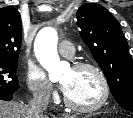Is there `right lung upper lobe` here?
Returning a JSON list of instances; mask_svg holds the SVG:
<instances>
[{
  "label": "right lung upper lobe",
  "instance_id": "right-lung-upper-lobe-1",
  "mask_svg": "<svg viewBox=\"0 0 133 118\" xmlns=\"http://www.w3.org/2000/svg\"><path fill=\"white\" fill-rule=\"evenodd\" d=\"M22 23L14 7L0 9V58L17 60L21 46Z\"/></svg>",
  "mask_w": 133,
  "mask_h": 118
}]
</instances>
